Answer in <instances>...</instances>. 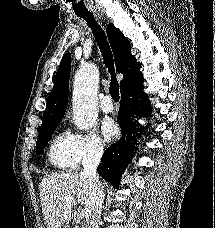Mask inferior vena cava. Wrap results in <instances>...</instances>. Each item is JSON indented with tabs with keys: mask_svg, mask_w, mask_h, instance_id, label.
<instances>
[{
	"mask_svg": "<svg viewBox=\"0 0 215 228\" xmlns=\"http://www.w3.org/2000/svg\"><path fill=\"white\" fill-rule=\"evenodd\" d=\"M103 148L101 146H94L93 150L85 156L82 160L81 176L87 178L89 188L92 192V208L93 214L89 218V228H99V216H101L102 206L104 202V188L103 184L99 182L97 168L102 158Z\"/></svg>",
	"mask_w": 215,
	"mask_h": 228,
	"instance_id": "inferior-vena-cava-1",
	"label": "inferior vena cava"
}]
</instances>
